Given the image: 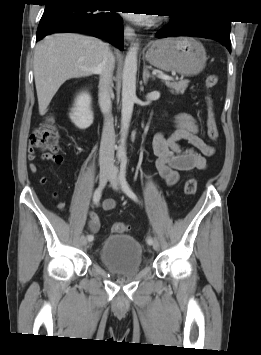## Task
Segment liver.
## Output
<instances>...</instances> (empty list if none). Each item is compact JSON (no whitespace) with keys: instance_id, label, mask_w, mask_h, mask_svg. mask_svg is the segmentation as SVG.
Here are the masks:
<instances>
[{"instance_id":"1","label":"liver","mask_w":261,"mask_h":355,"mask_svg":"<svg viewBox=\"0 0 261 355\" xmlns=\"http://www.w3.org/2000/svg\"><path fill=\"white\" fill-rule=\"evenodd\" d=\"M109 45L80 34L47 36L36 45L34 77L39 114L45 115L52 98L67 80L98 73Z\"/></svg>"}]
</instances>
